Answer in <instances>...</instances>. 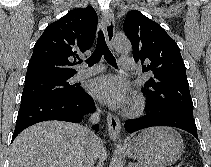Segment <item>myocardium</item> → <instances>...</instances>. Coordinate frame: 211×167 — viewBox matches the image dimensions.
I'll return each mask as SVG.
<instances>
[{"label":"myocardium","instance_id":"1","mask_svg":"<svg viewBox=\"0 0 211 167\" xmlns=\"http://www.w3.org/2000/svg\"><path fill=\"white\" fill-rule=\"evenodd\" d=\"M145 109V100L141 96H136L133 100L131 108L128 111L129 116H138Z\"/></svg>","mask_w":211,"mask_h":167}]
</instances>
